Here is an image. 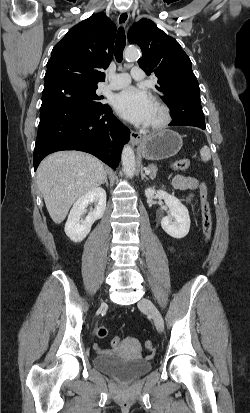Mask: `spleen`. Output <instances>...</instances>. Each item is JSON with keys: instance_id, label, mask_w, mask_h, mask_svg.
<instances>
[{"instance_id": "3e777b00", "label": "spleen", "mask_w": 250, "mask_h": 413, "mask_svg": "<svg viewBox=\"0 0 250 413\" xmlns=\"http://www.w3.org/2000/svg\"><path fill=\"white\" fill-rule=\"evenodd\" d=\"M200 157L204 162H207L211 159V152L208 146L205 145L200 149Z\"/></svg>"}]
</instances>
